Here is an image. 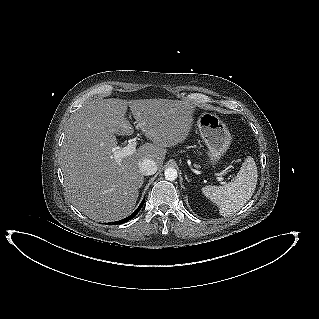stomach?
Returning a JSON list of instances; mask_svg holds the SVG:
<instances>
[{"mask_svg": "<svg viewBox=\"0 0 319 319\" xmlns=\"http://www.w3.org/2000/svg\"><path fill=\"white\" fill-rule=\"evenodd\" d=\"M200 135L208 147L210 163L215 166L231 144V134L218 115L203 112L197 120Z\"/></svg>", "mask_w": 319, "mask_h": 319, "instance_id": "1", "label": "stomach"}]
</instances>
